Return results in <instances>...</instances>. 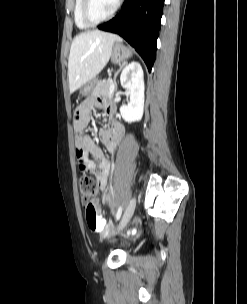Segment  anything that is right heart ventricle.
I'll list each match as a JSON object with an SVG mask.
<instances>
[{"label": "right heart ventricle", "mask_w": 247, "mask_h": 304, "mask_svg": "<svg viewBox=\"0 0 247 304\" xmlns=\"http://www.w3.org/2000/svg\"><path fill=\"white\" fill-rule=\"evenodd\" d=\"M81 6H82V0H75L74 2V20L78 28L80 29H87L90 26L87 25L81 16Z\"/></svg>", "instance_id": "e07e8e85"}]
</instances>
